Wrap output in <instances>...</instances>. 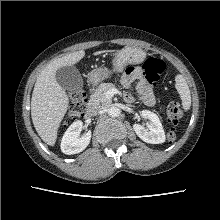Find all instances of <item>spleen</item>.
Masks as SVG:
<instances>
[{
	"mask_svg": "<svg viewBox=\"0 0 220 220\" xmlns=\"http://www.w3.org/2000/svg\"><path fill=\"white\" fill-rule=\"evenodd\" d=\"M175 81V87L182 99V107L185 111H187L191 106V95L188 84L182 75H177Z\"/></svg>",
	"mask_w": 220,
	"mask_h": 220,
	"instance_id": "3e777b00",
	"label": "spleen"
}]
</instances>
